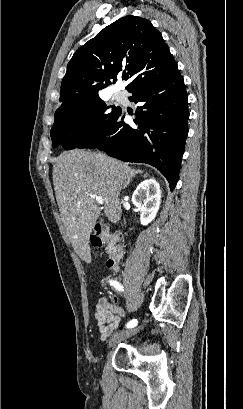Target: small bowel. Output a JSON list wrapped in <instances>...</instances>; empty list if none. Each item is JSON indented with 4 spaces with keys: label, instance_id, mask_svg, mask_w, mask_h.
<instances>
[{
    "label": "small bowel",
    "instance_id": "1",
    "mask_svg": "<svg viewBox=\"0 0 243 409\" xmlns=\"http://www.w3.org/2000/svg\"><path fill=\"white\" fill-rule=\"evenodd\" d=\"M94 316L97 320L101 339L105 340L118 328L125 314L121 308L111 303L108 298L102 297L95 306Z\"/></svg>",
    "mask_w": 243,
    "mask_h": 409
}]
</instances>
